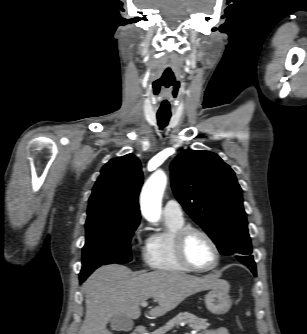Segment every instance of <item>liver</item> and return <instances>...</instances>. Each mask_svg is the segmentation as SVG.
I'll return each instance as SVG.
<instances>
[{
    "label": "liver",
    "mask_w": 307,
    "mask_h": 334,
    "mask_svg": "<svg viewBox=\"0 0 307 334\" xmlns=\"http://www.w3.org/2000/svg\"><path fill=\"white\" fill-rule=\"evenodd\" d=\"M219 285L220 280L213 274L196 277L168 271L134 273L122 265L101 266L84 283L86 314L79 334H111L106 326L113 316L138 319L141 303L149 298L158 302L149 314L159 317L188 296Z\"/></svg>",
    "instance_id": "liver-1"
}]
</instances>
